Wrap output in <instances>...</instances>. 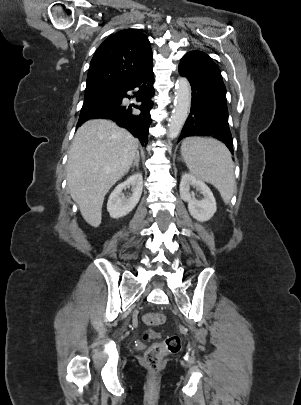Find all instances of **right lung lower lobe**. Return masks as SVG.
Instances as JSON below:
<instances>
[{
	"instance_id": "1",
	"label": "right lung lower lobe",
	"mask_w": 301,
	"mask_h": 405,
	"mask_svg": "<svg viewBox=\"0 0 301 405\" xmlns=\"http://www.w3.org/2000/svg\"><path fill=\"white\" fill-rule=\"evenodd\" d=\"M152 68L153 65H149L133 81L123 87L114 101L92 109L81 110L77 126L89 119H111L139 138L142 145H146L148 142V129L151 123L149 112L153 107L152 97L155 92ZM134 89H136L134 96H136V100L140 104L133 107L140 110L139 114L133 113L132 106H122V99L124 97L130 98L126 92Z\"/></svg>"
}]
</instances>
